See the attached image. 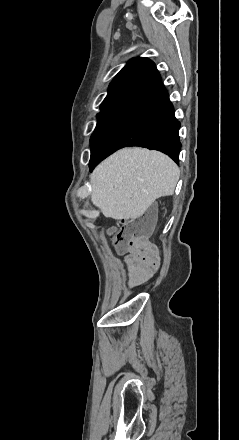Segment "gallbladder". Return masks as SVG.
Listing matches in <instances>:
<instances>
[{"instance_id":"1","label":"gallbladder","mask_w":239,"mask_h":440,"mask_svg":"<svg viewBox=\"0 0 239 440\" xmlns=\"http://www.w3.org/2000/svg\"><path fill=\"white\" fill-rule=\"evenodd\" d=\"M151 212H152V208H149V210L145 216V226H147V224L149 222V216H150Z\"/></svg>"}]
</instances>
